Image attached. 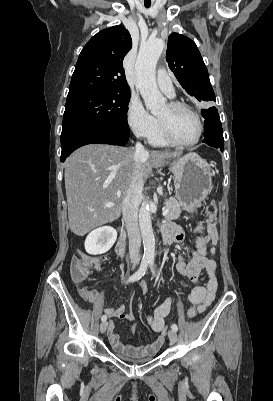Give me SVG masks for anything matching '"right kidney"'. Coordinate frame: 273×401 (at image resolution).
I'll return each instance as SVG.
<instances>
[{
  "label": "right kidney",
  "instance_id": "right-kidney-1",
  "mask_svg": "<svg viewBox=\"0 0 273 401\" xmlns=\"http://www.w3.org/2000/svg\"><path fill=\"white\" fill-rule=\"evenodd\" d=\"M117 233L112 227H99L86 237L85 251L89 255H103L113 247Z\"/></svg>",
  "mask_w": 273,
  "mask_h": 401
}]
</instances>
